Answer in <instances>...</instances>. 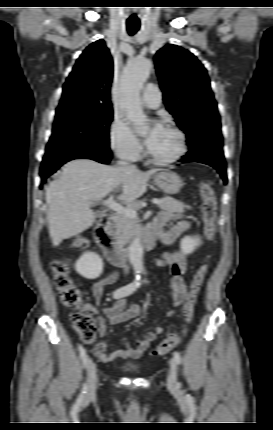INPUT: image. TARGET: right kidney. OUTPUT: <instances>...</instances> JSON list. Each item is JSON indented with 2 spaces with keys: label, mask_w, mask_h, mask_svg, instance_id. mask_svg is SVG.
Returning a JSON list of instances; mask_svg holds the SVG:
<instances>
[{
  "label": "right kidney",
  "mask_w": 273,
  "mask_h": 430,
  "mask_svg": "<svg viewBox=\"0 0 273 430\" xmlns=\"http://www.w3.org/2000/svg\"><path fill=\"white\" fill-rule=\"evenodd\" d=\"M103 266V261L98 254L87 252L78 259L75 264V270L82 277L93 280L101 275Z\"/></svg>",
  "instance_id": "obj_1"
}]
</instances>
